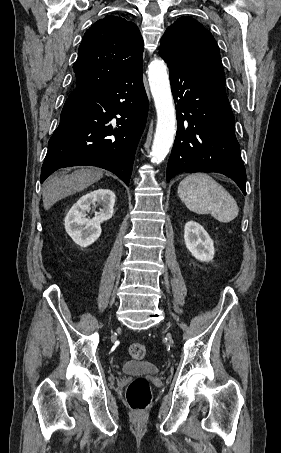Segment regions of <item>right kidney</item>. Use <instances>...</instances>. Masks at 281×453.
Listing matches in <instances>:
<instances>
[{
	"mask_svg": "<svg viewBox=\"0 0 281 453\" xmlns=\"http://www.w3.org/2000/svg\"><path fill=\"white\" fill-rule=\"evenodd\" d=\"M115 194L110 188H97L83 194L65 216L66 233L70 235L76 245L88 247L97 241L101 235L100 224L111 218L114 212ZM102 204L99 212L95 210L93 218H87L86 212L91 210V204Z\"/></svg>",
	"mask_w": 281,
	"mask_h": 453,
	"instance_id": "obj_1",
	"label": "right kidney"
}]
</instances>
